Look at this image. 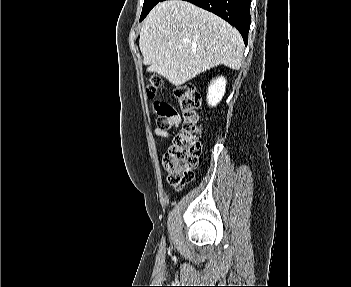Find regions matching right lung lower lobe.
I'll list each match as a JSON object with an SVG mask.
<instances>
[{
    "mask_svg": "<svg viewBox=\"0 0 351 287\" xmlns=\"http://www.w3.org/2000/svg\"><path fill=\"white\" fill-rule=\"evenodd\" d=\"M164 1V0H162ZM205 10H208L231 25L241 33L245 44L248 41L250 27L251 0H185Z\"/></svg>",
    "mask_w": 351,
    "mask_h": 287,
    "instance_id": "98d812e1",
    "label": "right lung lower lobe"
}]
</instances>
